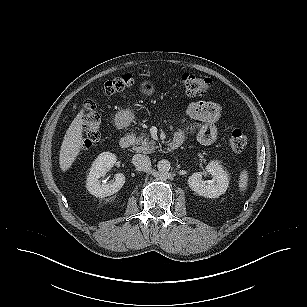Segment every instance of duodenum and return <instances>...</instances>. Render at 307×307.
Masks as SVG:
<instances>
[{"label":"duodenum","instance_id":"410a0bca","mask_svg":"<svg viewBox=\"0 0 307 307\" xmlns=\"http://www.w3.org/2000/svg\"><path fill=\"white\" fill-rule=\"evenodd\" d=\"M132 142H133L132 137L125 135L120 139L119 145L121 148L127 149L131 146ZM182 143H183V140L181 138H173V140L169 144L168 150L170 152H173L177 150L182 145Z\"/></svg>","mask_w":307,"mask_h":307}]
</instances>
